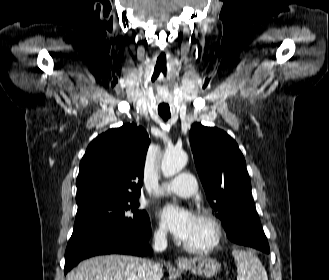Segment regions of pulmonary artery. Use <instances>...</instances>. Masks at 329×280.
I'll list each match as a JSON object with an SVG mask.
<instances>
[{"mask_svg":"<svg viewBox=\"0 0 329 280\" xmlns=\"http://www.w3.org/2000/svg\"><path fill=\"white\" fill-rule=\"evenodd\" d=\"M196 190V179L190 173H181L174 179L162 183L160 187L161 194H175L180 197H190Z\"/></svg>","mask_w":329,"mask_h":280,"instance_id":"pulmonary-artery-1","label":"pulmonary artery"}]
</instances>
